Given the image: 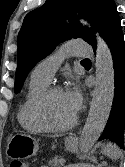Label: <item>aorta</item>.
Instances as JSON below:
<instances>
[{"instance_id": "762f6f07", "label": "aorta", "mask_w": 125, "mask_h": 167, "mask_svg": "<svg viewBox=\"0 0 125 167\" xmlns=\"http://www.w3.org/2000/svg\"><path fill=\"white\" fill-rule=\"evenodd\" d=\"M86 24V22L82 21ZM97 36L96 84L80 146L87 153L102 134L110 115L114 97V69L112 55L105 41Z\"/></svg>"}]
</instances>
